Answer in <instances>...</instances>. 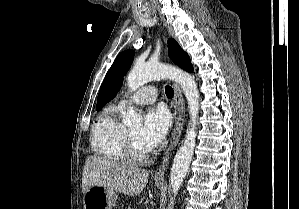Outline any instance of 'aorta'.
<instances>
[{
    "instance_id": "762f6f07",
    "label": "aorta",
    "mask_w": 299,
    "mask_h": 209,
    "mask_svg": "<svg viewBox=\"0 0 299 209\" xmlns=\"http://www.w3.org/2000/svg\"><path fill=\"white\" fill-rule=\"evenodd\" d=\"M159 79L173 80L181 86L188 102L191 118L185 139L175 155L170 172L169 187L175 198L188 172L194 154L200 95L197 84L189 73L160 63H136L127 76V85L132 92L148 82ZM122 122L129 127L138 126L142 123V117L133 107H129L122 116ZM174 198L171 197L168 209H173Z\"/></svg>"
}]
</instances>
